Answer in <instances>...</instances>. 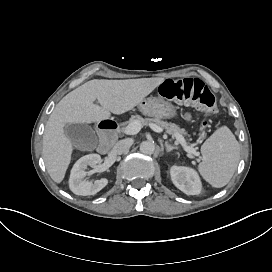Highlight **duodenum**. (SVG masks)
I'll list each match as a JSON object with an SVG mask.
<instances>
[{"label": "duodenum", "mask_w": 272, "mask_h": 272, "mask_svg": "<svg viewBox=\"0 0 272 272\" xmlns=\"http://www.w3.org/2000/svg\"><path fill=\"white\" fill-rule=\"evenodd\" d=\"M118 125L114 120L105 119L99 124L100 144L98 151L106 153L117 139Z\"/></svg>", "instance_id": "obj_1"}]
</instances>
